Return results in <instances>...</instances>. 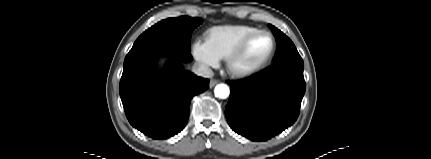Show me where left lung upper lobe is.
<instances>
[{
	"label": "left lung upper lobe",
	"mask_w": 431,
	"mask_h": 159,
	"mask_svg": "<svg viewBox=\"0 0 431 159\" xmlns=\"http://www.w3.org/2000/svg\"><path fill=\"white\" fill-rule=\"evenodd\" d=\"M269 27L272 30L277 42V51L273 59V65L283 62L303 63V60L293 42L274 26L269 25Z\"/></svg>",
	"instance_id": "left-lung-upper-lobe-1"
}]
</instances>
